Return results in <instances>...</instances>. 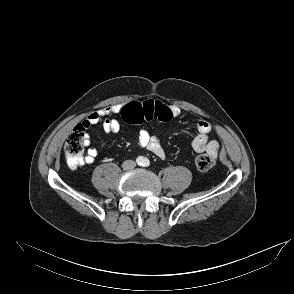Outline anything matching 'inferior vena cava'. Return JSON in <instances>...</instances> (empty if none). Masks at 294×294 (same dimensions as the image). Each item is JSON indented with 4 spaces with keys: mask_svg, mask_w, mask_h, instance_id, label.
I'll return each instance as SVG.
<instances>
[{
    "mask_svg": "<svg viewBox=\"0 0 294 294\" xmlns=\"http://www.w3.org/2000/svg\"><path fill=\"white\" fill-rule=\"evenodd\" d=\"M135 165H136L135 161H133V160H125L122 163V168L124 170H130V169H133L135 167Z\"/></svg>",
    "mask_w": 294,
    "mask_h": 294,
    "instance_id": "inferior-vena-cava-1",
    "label": "inferior vena cava"
}]
</instances>
